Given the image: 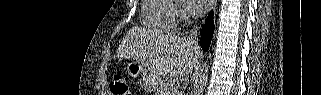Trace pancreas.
Wrapping results in <instances>:
<instances>
[{"label": "pancreas", "mask_w": 321, "mask_h": 95, "mask_svg": "<svg viewBox=\"0 0 321 95\" xmlns=\"http://www.w3.org/2000/svg\"><path fill=\"white\" fill-rule=\"evenodd\" d=\"M178 90L170 79L163 80L156 89V95H178Z\"/></svg>", "instance_id": "cf45deb5"}]
</instances>
